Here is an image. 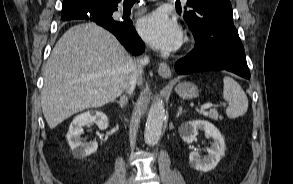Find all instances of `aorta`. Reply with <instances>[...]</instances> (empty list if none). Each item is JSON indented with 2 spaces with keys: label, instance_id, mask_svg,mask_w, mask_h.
Segmentation results:
<instances>
[{
  "label": "aorta",
  "instance_id": "obj_1",
  "mask_svg": "<svg viewBox=\"0 0 293 184\" xmlns=\"http://www.w3.org/2000/svg\"><path fill=\"white\" fill-rule=\"evenodd\" d=\"M165 118V107L162 101L155 102L150 108L146 126L144 139L148 145H155L161 136L163 121Z\"/></svg>",
  "mask_w": 293,
  "mask_h": 184
}]
</instances>
